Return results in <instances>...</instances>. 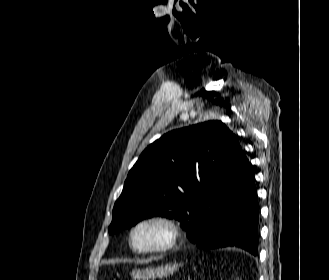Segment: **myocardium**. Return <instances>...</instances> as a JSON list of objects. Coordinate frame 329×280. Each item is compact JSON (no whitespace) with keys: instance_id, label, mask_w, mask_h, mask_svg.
Listing matches in <instances>:
<instances>
[{"instance_id":"1","label":"myocardium","mask_w":329,"mask_h":280,"mask_svg":"<svg viewBox=\"0 0 329 280\" xmlns=\"http://www.w3.org/2000/svg\"><path fill=\"white\" fill-rule=\"evenodd\" d=\"M148 224H158L164 227L167 232L166 240L158 246L148 247V248H137L133 242L134 234L140 227ZM179 237H180V229L174 219L164 214H153L141 218L131 227L129 231L128 242L130 248L135 253L143 254V255L161 254L173 249L178 243Z\"/></svg>"}]
</instances>
